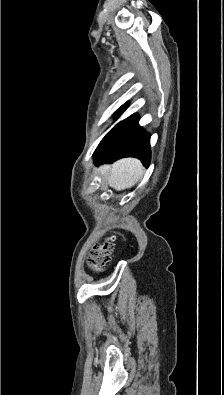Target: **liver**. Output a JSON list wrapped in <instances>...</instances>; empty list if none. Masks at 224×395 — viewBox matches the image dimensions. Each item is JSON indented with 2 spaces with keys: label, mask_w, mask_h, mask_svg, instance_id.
<instances>
[{
  "label": "liver",
  "mask_w": 224,
  "mask_h": 395,
  "mask_svg": "<svg viewBox=\"0 0 224 395\" xmlns=\"http://www.w3.org/2000/svg\"><path fill=\"white\" fill-rule=\"evenodd\" d=\"M99 171L103 177L108 174L109 186L120 191L134 186L142 178L145 170L138 159L124 158L112 166H102Z\"/></svg>",
  "instance_id": "6515ba94"
}]
</instances>
